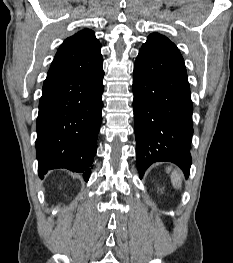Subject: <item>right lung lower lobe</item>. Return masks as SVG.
<instances>
[{
  "label": "right lung lower lobe",
  "mask_w": 233,
  "mask_h": 263,
  "mask_svg": "<svg viewBox=\"0 0 233 263\" xmlns=\"http://www.w3.org/2000/svg\"><path fill=\"white\" fill-rule=\"evenodd\" d=\"M103 77L101 59L89 73L45 79L36 139L41 178L51 169L67 168L88 180L102 121Z\"/></svg>",
  "instance_id": "obj_1"
}]
</instances>
